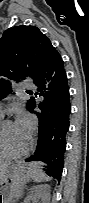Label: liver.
Masks as SVG:
<instances>
[{"label": "liver", "mask_w": 89, "mask_h": 203, "mask_svg": "<svg viewBox=\"0 0 89 203\" xmlns=\"http://www.w3.org/2000/svg\"><path fill=\"white\" fill-rule=\"evenodd\" d=\"M6 168H7V165H1V167H0V173H1V182H2L3 177H4V175H5Z\"/></svg>", "instance_id": "obj_1"}]
</instances>
